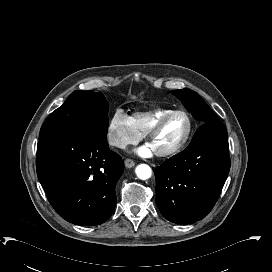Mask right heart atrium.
Returning a JSON list of instances; mask_svg holds the SVG:
<instances>
[{"mask_svg":"<svg viewBox=\"0 0 272 272\" xmlns=\"http://www.w3.org/2000/svg\"><path fill=\"white\" fill-rule=\"evenodd\" d=\"M107 136L110 145L124 148L141 138L133 119L122 110H117L107 123Z\"/></svg>","mask_w":272,"mask_h":272,"instance_id":"d8ad5b80","label":"right heart atrium"}]
</instances>
